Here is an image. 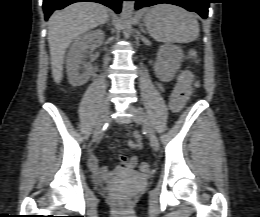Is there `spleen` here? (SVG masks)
<instances>
[{
    "instance_id": "1",
    "label": "spleen",
    "mask_w": 260,
    "mask_h": 217,
    "mask_svg": "<svg viewBox=\"0 0 260 217\" xmlns=\"http://www.w3.org/2000/svg\"><path fill=\"white\" fill-rule=\"evenodd\" d=\"M150 35L164 43H187L199 36V23L193 13L169 4L151 8L145 15Z\"/></svg>"
}]
</instances>
